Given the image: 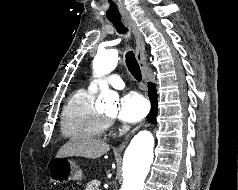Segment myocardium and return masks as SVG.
Returning <instances> with one entry per match:
<instances>
[{
  "label": "myocardium",
  "mask_w": 238,
  "mask_h": 190,
  "mask_svg": "<svg viewBox=\"0 0 238 190\" xmlns=\"http://www.w3.org/2000/svg\"><path fill=\"white\" fill-rule=\"evenodd\" d=\"M102 116H103V118L105 119V121L107 123H111L113 121V118H114L113 116H109V115H106V114H103Z\"/></svg>",
  "instance_id": "obj_1"
}]
</instances>
